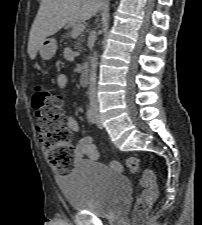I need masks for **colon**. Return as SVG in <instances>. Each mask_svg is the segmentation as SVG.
Listing matches in <instances>:
<instances>
[{
    "instance_id": "obj_1",
    "label": "colon",
    "mask_w": 202,
    "mask_h": 225,
    "mask_svg": "<svg viewBox=\"0 0 202 225\" xmlns=\"http://www.w3.org/2000/svg\"><path fill=\"white\" fill-rule=\"evenodd\" d=\"M34 103L35 129L47 162L58 175L68 174L73 167L76 148L71 144L72 132L66 125L59 98L50 90L36 89ZM111 165L120 167L116 160H112ZM126 167L132 174L141 172L142 191L134 208V220L139 221L157 200L156 176L138 157L128 158Z\"/></svg>"
}]
</instances>
